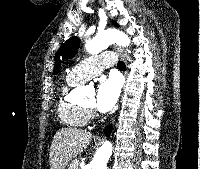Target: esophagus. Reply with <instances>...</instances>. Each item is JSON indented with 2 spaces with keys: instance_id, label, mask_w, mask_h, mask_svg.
Listing matches in <instances>:
<instances>
[{
  "instance_id": "esophagus-1",
  "label": "esophagus",
  "mask_w": 200,
  "mask_h": 169,
  "mask_svg": "<svg viewBox=\"0 0 200 169\" xmlns=\"http://www.w3.org/2000/svg\"><path fill=\"white\" fill-rule=\"evenodd\" d=\"M114 49L116 50V52L118 53V55L120 56V58L125 62L127 63V59H126V56L125 54L123 53V50L117 46H114Z\"/></svg>"
}]
</instances>
